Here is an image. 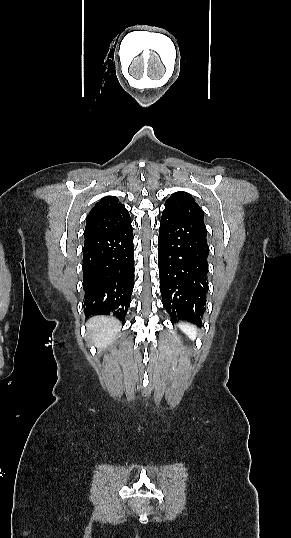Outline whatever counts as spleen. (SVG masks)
<instances>
[{
  "label": "spleen",
  "instance_id": "obj_1",
  "mask_svg": "<svg viewBox=\"0 0 291 538\" xmlns=\"http://www.w3.org/2000/svg\"><path fill=\"white\" fill-rule=\"evenodd\" d=\"M179 327L183 332H185L190 338L194 339L196 337V328L193 325L180 323Z\"/></svg>",
  "mask_w": 291,
  "mask_h": 538
}]
</instances>
